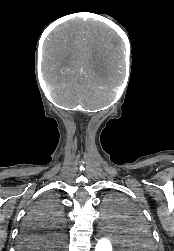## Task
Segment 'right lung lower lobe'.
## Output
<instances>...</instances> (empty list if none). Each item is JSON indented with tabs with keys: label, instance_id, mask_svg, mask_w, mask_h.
Instances as JSON below:
<instances>
[{
	"label": "right lung lower lobe",
	"instance_id": "1",
	"mask_svg": "<svg viewBox=\"0 0 174 251\" xmlns=\"http://www.w3.org/2000/svg\"><path fill=\"white\" fill-rule=\"evenodd\" d=\"M46 228L34 224L25 223L20 232L18 250L20 251H41L40 249H21V244H29L35 241V237L45 232Z\"/></svg>",
	"mask_w": 174,
	"mask_h": 251
}]
</instances>
